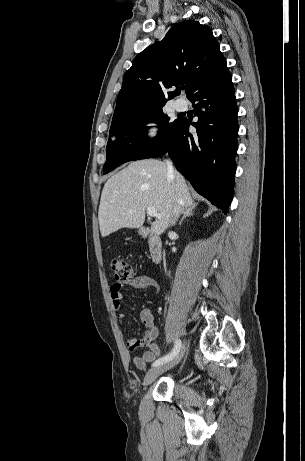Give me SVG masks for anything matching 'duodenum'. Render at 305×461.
<instances>
[{
	"label": "duodenum",
	"instance_id": "1",
	"mask_svg": "<svg viewBox=\"0 0 305 461\" xmlns=\"http://www.w3.org/2000/svg\"><path fill=\"white\" fill-rule=\"evenodd\" d=\"M143 234L149 246L150 261L152 263H159L161 261L163 251V245L161 240L147 229L143 230Z\"/></svg>",
	"mask_w": 305,
	"mask_h": 461
}]
</instances>
